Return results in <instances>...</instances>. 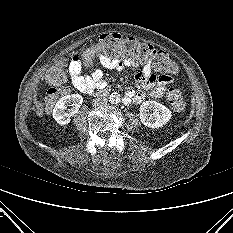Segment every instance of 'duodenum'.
Returning <instances> with one entry per match:
<instances>
[{
  "mask_svg": "<svg viewBox=\"0 0 233 233\" xmlns=\"http://www.w3.org/2000/svg\"><path fill=\"white\" fill-rule=\"evenodd\" d=\"M107 93H108V91H107L106 89H100V90L98 91V94H99L100 96H105Z\"/></svg>",
  "mask_w": 233,
  "mask_h": 233,
  "instance_id": "1",
  "label": "duodenum"
}]
</instances>
